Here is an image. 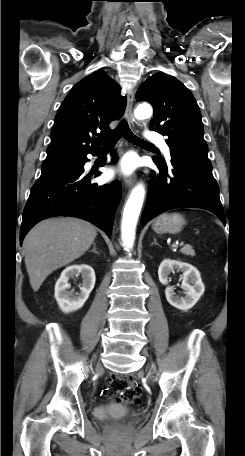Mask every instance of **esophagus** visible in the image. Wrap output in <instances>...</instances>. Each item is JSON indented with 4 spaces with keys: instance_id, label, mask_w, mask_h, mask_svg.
Instances as JSON below:
<instances>
[{
    "instance_id": "esophagus-1",
    "label": "esophagus",
    "mask_w": 245,
    "mask_h": 456,
    "mask_svg": "<svg viewBox=\"0 0 245 456\" xmlns=\"http://www.w3.org/2000/svg\"><path fill=\"white\" fill-rule=\"evenodd\" d=\"M133 101H134V91H130L127 96V106L125 111V118L131 128H134V115H133ZM125 185L131 187L136 182V175H131L124 178Z\"/></svg>"
}]
</instances>
